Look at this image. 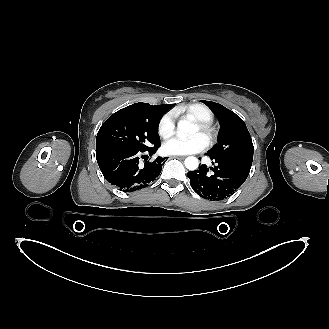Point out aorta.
Here are the masks:
<instances>
[{"instance_id": "1", "label": "aorta", "mask_w": 329, "mask_h": 329, "mask_svg": "<svg viewBox=\"0 0 329 329\" xmlns=\"http://www.w3.org/2000/svg\"><path fill=\"white\" fill-rule=\"evenodd\" d=\"M197 127L188 120H180L177 125V133L179 136H187L189 134L195 133ZM185 167L190 170H196L199 166V161L196 157H187L184 161Z\"/></svg>"}]
</instances>
